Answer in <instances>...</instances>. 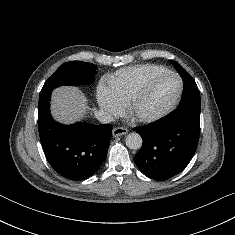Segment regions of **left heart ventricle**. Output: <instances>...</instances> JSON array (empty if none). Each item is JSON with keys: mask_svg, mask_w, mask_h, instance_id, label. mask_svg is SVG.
I'll use <instances>...</instances> for the list:
<instances>
[{"mask_svg": "<svg viewBox=\"0 0 235 235\" xmlns=\"http://www.w3.org/2000/svg\"><path fill=\"white\" fill-rule=\"evenodd\" d=\"M179 82L175 77H162L150 87V90L138 108L141 115H152L166 108L176 97Z\"/></svg>", "mask_w": 235, "mask_h": 235, "instance_id": "1", "label": "left heart ventricle"}]
</instances>
